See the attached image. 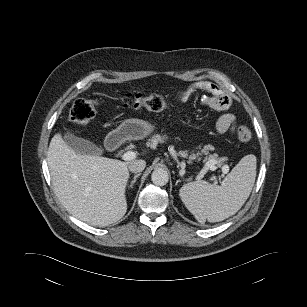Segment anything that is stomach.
<instances>
[{
    "label": "stomach",
    "instance_id": "obj_1",
    "mask_svg": "<svg viewBox=\"0 0 307 307\" xmlns=\"http://www.w3.org/2000/svg\"><path fill=\"white\" fill-rule=\"evenodd\" d=\"M155 126L142 119H127L111 132L121 140H139L153 132Z\"/></svg>",
    "mask_w": 307,
    "mask_h": 307
}]
</instances>
